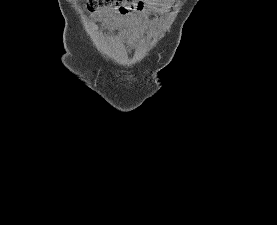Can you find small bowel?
<instances>
[{
	"mask_svg": "<svg viewBox=\"0 0 277 225\" xmlns=\"http://www.w3.org/2000/svg\"><path fill=\"white\" fill-rule=\"evenodd\" d=\"M172 9V4L162 3L138 10L136 14L119 15L114 10H105L99 15L111 27L124 26V34L129 37V45L133 46L141 34H151L159 26L165 13ZM153 13L151 16L150 14Z\"/></svg>",
	"mask_w": 277,
	"mask_h": 225,
	"instance_id": "small-bowel-1",
	"label": "small bowel"
}]
</instances>
